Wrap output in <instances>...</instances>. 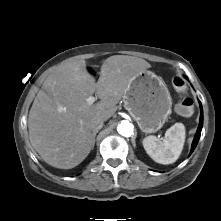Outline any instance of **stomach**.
<instances>
[{"label": "stomach", "mask_w": 221, "mask_h": 221, "mask_svg": "<svg viewBox=\"0 0 221 221\" xmlns=\"http://www.w3.org/2000/svg\"><path fill=\"white\" fill-rule=\"evenodd\" d=\"M123 103L143 132L154 133L171 113L172 99L162 78L144 70L130 82Z\"/></svg>", "instance_id": "0dacf381"}]
</instances>
